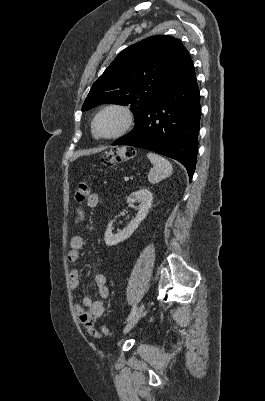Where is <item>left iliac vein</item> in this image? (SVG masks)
Here are the masks:
<instances>
[{"mask_svg":"<svg viewBox=\"0 0 265 401\" xmlns=\"http://www.w3.org/2000/svg\"><path fill=\"white\" fill-rule=\"evenodd\" d=\"M145 310V303H142L140 307L136 310L133 317L129 320L126 326L123 329V334H127L131 329L137 324L139 319L142 317L143 312Z\"/></svg>","mask_w":265,"mask_h":401,"instance_id":"obj_1","label":"left iliac vein"}]
</instances>
